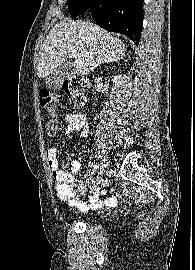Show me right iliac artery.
<instances>
[{"label": "right iliac artery", "instance_id": "obj_1", "mask_svg": "<svg viewBox=\"0 0 195 270\" xmlns=\"http://www.w3.org/2000/svg\"><path fill=\"white\" fill-rule=\"evenodd\" d=\"M98 168H99V164L96 163V164L94 165V168H93L92 172H91V176L95 174V172H96V170H97Z\"/></svg>", "mask_w": 195, "mask_h": 270}]
</instances>
